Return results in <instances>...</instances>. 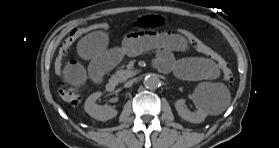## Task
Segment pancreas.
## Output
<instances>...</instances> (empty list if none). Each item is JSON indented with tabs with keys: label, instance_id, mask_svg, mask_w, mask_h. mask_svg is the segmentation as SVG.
Segmentation results:
<instances>
[{
	"label": "pancreas",
	"instance_id": "1",
	"mask_svg": "<svg viewBox=\"0 0 279 148\" xmlns=\"http://www.w3.org/2000/svg\"><path fill=\"white\" fill-rule=\"evenodd\" d=\"M136 74V71L128 69H120L116 71L114 78L119 82H125L127 79L133 77Z\"/></svg>",
	"mask_w": 279,
	"mask_h": 148
}]
</instances>
